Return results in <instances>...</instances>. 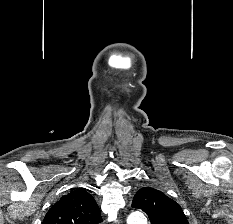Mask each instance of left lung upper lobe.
Returning <instances> with one entry per match:
<instances>
[{
  "mask_svg": "<svg viewBox=\"0 0 233 224\" xmlns=\"http://www.w3.org/2000/svg\"><path fill=\"white\" fill-rule=\"evenodd\" d=\"M132 207L143 210L152 224H189L178 203L151 187L135 194Z\"/></svg>",
  "mask_w": 233,
  "mask_h": 224,
  "instance_id": "5c2ea615",
  "label": "left lung upper lobe"
}]
</instances>
